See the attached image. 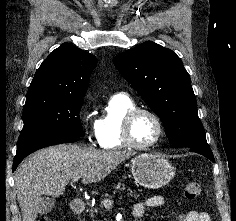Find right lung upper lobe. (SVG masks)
I'll return each instance as SVG.
<instances>
[{
  "mask_svg": "<svg viewBox=\"0 0 236 221\" xmlns=\"http://www.w3.org/2000/svg\"><path fill=\"white\" fill-rule=\"evenodd\" d=\"M96 57L70 43L51 52L36 71L28 95L84 96Z\"/></svg>",
  "mask_w": 236,
  "mask_h": 221,
  "instance_id": "right-lung-upper-lobe-1",
  "label": "right lung upper lobe"
}]
</instances>
